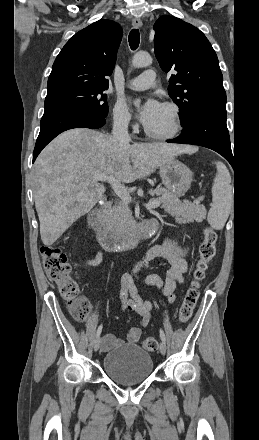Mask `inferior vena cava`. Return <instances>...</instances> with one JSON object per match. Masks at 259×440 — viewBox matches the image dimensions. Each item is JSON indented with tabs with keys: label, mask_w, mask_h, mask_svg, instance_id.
<instances>
[{
	"label": "inferior vena cava",
	"mask_w": 259,
	"mask_h": 440,
	"mask_svg": "<svg viewBox=\"0 0 259 440\" xmlns=\"http://www.w3.org/2000/svg\"><path fill=\"white\" fill-rule=\"evenodd\" d=\"M111 137L120 143H129L131 138L128 133V122L126 120L115 121Z\"/></svg>",
	"instance_id": "602c4592"
}]
</instances>
